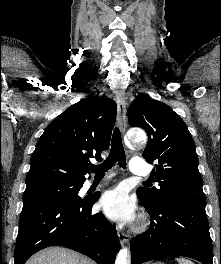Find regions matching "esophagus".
Instances as JSON below:
<instances>
[{
    "instance_id": "esophagus-1",
    "label": "esophagus",
    "mask_w": 221,
    "mask_h": 264,
    "mask_svg": "<svg viewBox=\"0 0 221 264\" xmlns=\"http://www.w3.org/2000/svg\"><path fill=\"white\" fill-rule=\"evenodd\" d=\"M117 107H118V122H119L120 130L122 133H124L127 127V120H126V102L123 97L117 98ZM118 238L122 245L128 243L129 241L128 235L121 230L118 231Z\"/></svg>"
}]
</instances>
